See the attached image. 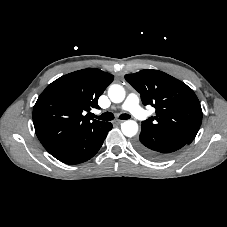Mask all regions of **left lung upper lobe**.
Returning a JSON list of instances; mask_svg holds the SVG:
<instances>
[{
  "instance_id": "1",
  "label": "left lung upper lobe",
  "mask_w": 227,
  "mask_h": 227,
  "mask_svg": "<svg viewBox=\"0 0 227 227\" xmlns=\"http://www.w3.org/2000/svg\"><path fill=\"white\" fill-rule=\"evenodd\" d=\"M141 94L144 105L156 108V116L142 127L191 143L202 122V109L194 91L180 80L159 70H141L125 75Z\"/></svg>"
}]
</instances>
